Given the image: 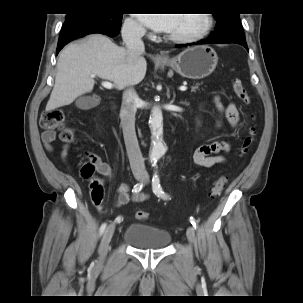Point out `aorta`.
I'll return each instance as SVG.
<instances>
[{
  "label": "aorta",
  "mask_w": 303,
  "mask_h": 303,
  "mask_svg": "<svg viewBox=\"0 0 303 303\" xmlns=\"http://www.w3.org/2000/svg\"><path fill=\"white\" fill-rule=\"evenodd\" d=\"M152 141L149 153L151 163H156L167 151L163 141V115L160 109L154 108L149 120Z\"/></svg>",
  "instance_id": "1"
}]
</instances>
